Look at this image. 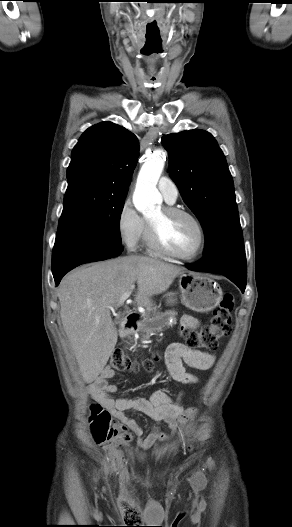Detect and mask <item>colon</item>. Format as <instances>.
<instances>
[{
    "mask_svg": "<svg viewBox=\"0 0 292 527\" xmlns=\"http://www.w3.org/2000/svg\"><path fill=\"white\" fill-rule=\"evenodd\" d=\"M233 308L234 297L232 294L226 293L207 325L199 330L183 329L187 344L197 349H216L219 340L229 335L232 330L231 313ZM156 359L157 357L138 363L130 359L122 350L117 349L110 359V367L118 371L136 372L140 367L151 371ZM90 411L91 433L97 444L114 448L124 446L130 441V435L125 427L113 421L109 410L102 403L92 404ZM129 510L138 514V510L134 507L129 508Z\"/></svg>",
    "mask_w": 292,
    "mask_h": 527,
    "instance_id": "obj_1",
    "label": "colon"
}]
</instances>
